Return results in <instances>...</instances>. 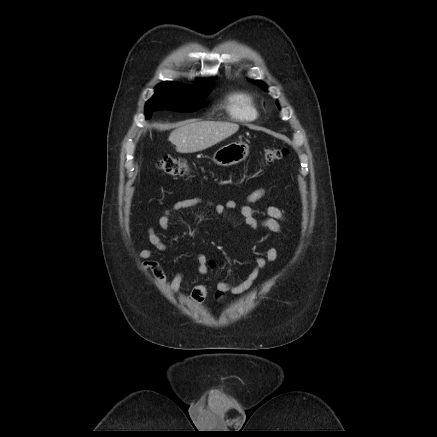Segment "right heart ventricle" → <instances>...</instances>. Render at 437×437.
I'll return each instance as SVG.
<instances>
[{
    "label": "right heart ventricle",
    "instance_id": "right-heart-ventricle-1",
    "mask_svg": "<svg viewBox=\"0 0 437 437\" xmlns=\"http://www.w3.org/2000/svg\"><path fill=\"white\" fill-rule=\"evenodd\" d=\"M226 107L229 114L239 121L250 122L258 117L255 101L247 93L236 92L229 95L226 100Z\"/></svg>",
    "mask_w": 437,
    "mask_h": 437
}]
</instances>
